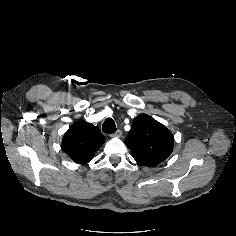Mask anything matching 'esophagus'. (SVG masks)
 I'll use <instances>...</instances> for the list:
<instances>
[{
	"instance_id": "1",
	"label": "esophagus",
	"mask_w": 236,
	"mask_h": 236,
	"mask_svg": "<svg viewBox=\"0 0 236 236\" xmlns=\"http://www.w3.org/2000/svg\"><path fill=\"white\" fill-rule=\"evenodd\" d=\"M112 136H114V137H121L122 136V131L121 130H117L115 133L112 134Z\"/></svg>"
}]
</instances>
